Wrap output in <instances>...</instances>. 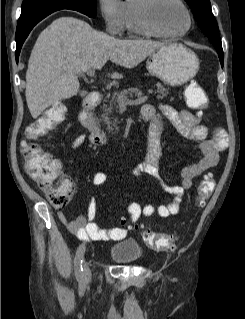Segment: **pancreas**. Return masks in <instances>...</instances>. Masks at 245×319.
Returning a JSON list of instances; mask_svg holds the SVG:
<instances>
[{
	"instance_id": "pancreas-1",
	"label": "pancreas",
	"mask_w": 245,
	"mask_h": 319,
	"mask_svg": "<svg viewBox=\"0 0 245 319\" xmlns=\"http://www.w3.org/2000/svg\"><path fill=\"white\" fill-rule=\"evenodd\" d=\"M156 90H155V94H157V98L158 99H163L164 97H166V95L168 94V90L169 88L164 87L163 85H161V83H156ZM141 92L140 89L138 87H131L128 89H123L121 92L119 93H114L111 97V99H109V96H107V100L105 101L106 103L103 104V113L101 114V119L104 122V124L107 125L106 130L109 133H115L116 131H118L119 127L117 126V120L114 118L113 115V111L118 109V97L122 96L125 98H132L134 96H140Z\"/></svg>"
}]
</instances>
